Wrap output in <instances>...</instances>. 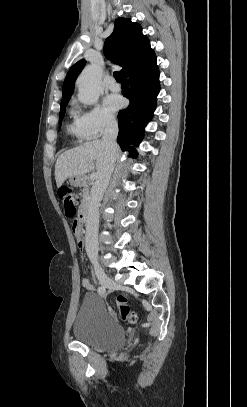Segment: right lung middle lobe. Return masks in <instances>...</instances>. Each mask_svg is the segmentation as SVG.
<instances>
[{
  "label": "right lung middle lobe",
  "instance_id": "1",
  "mask_svg": "<svg viewBox=\"0 0 247 407\" xmlns=\"http://www.w3.org/2000/svg\"><path fill=\"white\" fill-rule=\"evenodd\" d=\"M68 101L62 102L60 104V123L62 122L63 118H64V114H65V109L67 106Z\"/></svg>",
  "mask_w": 247,
  "mask_h": 407
}]
</instances>
